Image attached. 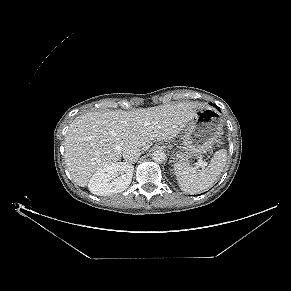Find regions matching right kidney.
<instances>
[{"label": "right kidney", "instance_id": "1", "mask_svg": "<svg viewBox=\"0 0 291 291\" xmlns=\"http://www.w3.org/2000/svg\"><path fill=\"white\" fill-rule=\"evenodd\" d=\"M134 167L126 162H116L97 170L91 177L88 188L98 196L124 191L132 180Z\"/></svg>", "mask_w": 291, "mask_h": 291}]
</instances>
